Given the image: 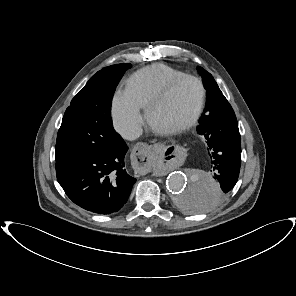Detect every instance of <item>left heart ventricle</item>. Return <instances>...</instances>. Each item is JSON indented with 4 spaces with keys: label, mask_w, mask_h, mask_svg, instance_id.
Segmentation results:
<instances>
[{
    "label": "left heart ventricle",
    "mask_w": 296,
    "mask_h": 296,
    "mask_svg": "<svg viewBox=\"0 0 296 296\" xmlns=\"http://www.w3.org/2000/svg\"><path fill=\"white\" fill-rule=\"evenodd\" d=\"M199 88L193 80L179 82L168 98L155 110L154 120L160 127H169L185 120L194 110Z\"/></svg>",
    "instance_id": "obj_1"
}]
</instances>
